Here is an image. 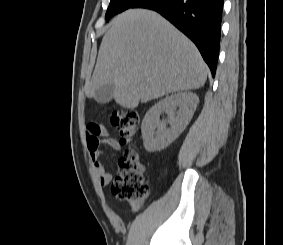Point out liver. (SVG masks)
Returning <instances> with one entry per match:
<instances>
[{
  "instance_id": "1",
  "label": "liver",
  "mask_w": 283,
  "mask_h": 245,
  "mask_svg": "<svg viewBox=\"0 0 283 245\" xmlns=\"http://www.w3.org/2000/svg\"><path fill=\"white\" fill-rule=\"evenodd\" d=\"M207 66L196 46L154 11L129 9L111 22L104 35L89 97L114 84L113 98L134 109L163 95L202 87Z\"/></svg>"
}]
</instances>
